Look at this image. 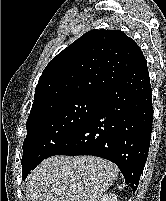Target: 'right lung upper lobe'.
<instances>
[{
	"instance_id": "1",
	"label": "right lung upper lobe",
	"mask_w": 166,
	"mask_h": 201,
	"mask_svg": "<svg viewBox=\"0 0 166 201\" xmlns=\"http://www.w3.org/2000/svg\"><path fill=\"white\" fill-rule=\"evenodd\" d=\"M143 58L136 42L119 30L85 33L46 66L29 117L76 97L102 95Z\"/></svg>"
}]
</instances>
